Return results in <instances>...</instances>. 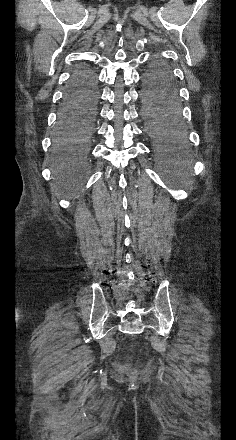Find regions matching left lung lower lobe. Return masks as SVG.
<instances>
[{
	"instance_id": "0a47b994",
	"label": "left lung lower lobe",
	"mask_w": 236,
	"mask_h": 440,
	"mask_svg": "<svg viewBox=\"0 0 236 440\" xmlns=\"http://www.w3.org/2000/svg\"><path fill=\"white\" fill-rule=\"evenodd\" d=\"M146 132L161 144H173L183 138L178 87L169 66L155 60L144 77L142 92Z\"/></svg>"
}]
</instances>
